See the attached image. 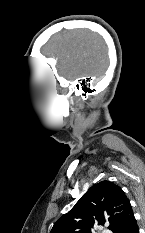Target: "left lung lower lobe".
I'll use <instances>...</instances> for the list:
<instances>
[{
  "label": "left lung lower lobe",
  "mask_w": 145,
  "mask_h": 233,
  "mask_svg": "<svg viewBox=\"0 0 145 233\" xmlns=\"http://www.w3.org/2000/svg\"><path fill=\"white\" fill-rule=\"evenodd\" d=\"M126 233H139V228L136 220L132 222Z\"/></svg>",
  "instance_id": "1"
}]
</instances>
